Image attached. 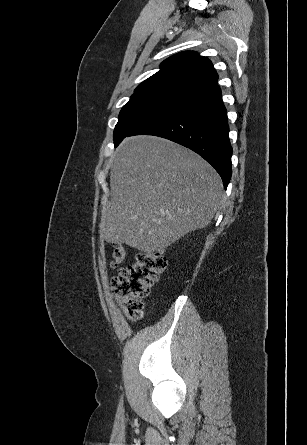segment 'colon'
<instances>
[{
    "label": "colon",
    "mask_w": 307,
    "mask_h": 445,
    "mask_svg": "<svg viewBox=\"0 0 307 445\" xmlns=\"http://www.w3.org/2000/svg\"><path fill=\"white\" fill-rule=\"evenodd\" d=\"M127 250L121 245L115 246L110 266L117 268L127 258ZM167 260L161 252H141L133 263L119 269L112 281L113 292L122 309L130 320H139L143 316V299L165 270Z\"/></svg>",
    "instance_id": "1"
}]
</instances>
